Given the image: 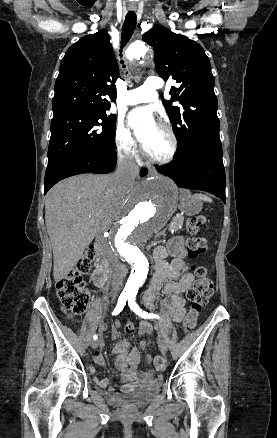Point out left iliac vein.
I'll list each match as a JSON object with an SVG mask.
<instances>
[{"mask_svg":"<svg viewBox=\"0 0 277 438\" xmlns=\"http://www.w3.org/2000/svg\"><path fill=\"white\" fill-rule=\"evenodd\" d=\"M160 347H161V350L163 353L167 352L168 346H167V343L164 339L161 340Z\"/></svg>","mask_w":277,"mask_h":438,"instance_id":"left-iliac-vein-1","label":"left iliac vein"}]
</instances>
